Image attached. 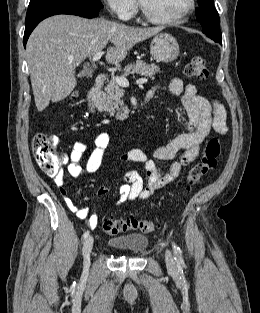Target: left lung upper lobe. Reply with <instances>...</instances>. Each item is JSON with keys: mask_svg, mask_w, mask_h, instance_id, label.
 <instances>
[{"mask_svg": "<svg viewBox=\"0 0 260 313\" xmlns=\"http://www.w3.org/2000/svg\"><path fill=\"white\" fill-rule=\"evenodd\" d=\"M196 17L202 25V32L214 41H221L220 19L214 7V0H198Z\"/></svg>", "mask_w": 260, "mask_h": 313, "instance_id": "1", "label": "left lung upper lobe"}]
</instances>
